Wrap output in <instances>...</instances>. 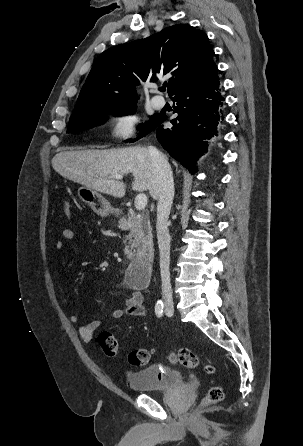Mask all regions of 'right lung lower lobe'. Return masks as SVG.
I'll return each instance as SVG.
<instances>
[{
  "mask_svg": "<svg viewBox=\"0 0 303 446\" xmlns=\"http://www.w3.org/2000/svg\"><path fill=\"white\" fill-rule=\"evenodd\" d=\"M177 103L172 128L163 129L166 115H160L155 126L156 136L163 148L190 171H196V161L207 150V138L216 133L222 117L224 98L218 75L213 79L192 85L171 97Z\"/></svg>",
  "mask_w": 303,
  "mask_h": 446,
  "instance_id": "obj_1",
  "label": "right lung lower lobe"
}]
</instances>
